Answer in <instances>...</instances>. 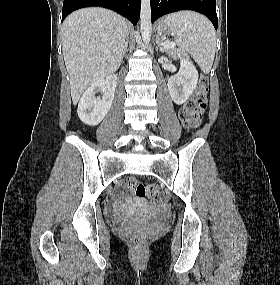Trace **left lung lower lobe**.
Returning a JSON list of instances; mask_svg holds the SVG:
<instances>
[{"label":"left lung lower lobe","mask_w":280,"mask_h":285,"mask_svg":"<svg viewBox=\"0 0 280 285\" xmlns=\"http://www.w3.org/2000/svg\"><path fill=\"white\" fill-rule=\"evenodd\" d=\"M180 10H193L204 14L217 30L216 0H151L152 23L165 14Z\"/></svg>","instance_id":"left-lung-lower-lobe-1"}]
</instances>
